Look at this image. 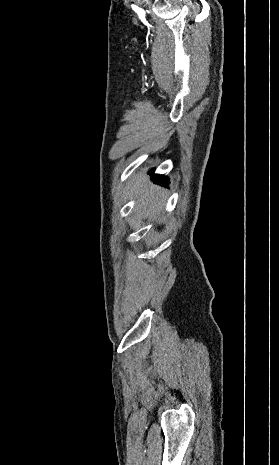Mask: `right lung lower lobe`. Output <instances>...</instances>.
I'll list each match as a JSON object with an SVG mask.
<instances>
[{
    "instance_id": "1",
    "label": "right lung lower lobe",
    "mask_w": 279,
    "mask_h": 465,
    "mask_svg": "<svg viewBox=\"0 0 279 465\" xmlns=\"http://www.w3.org/2000/svg\"><path fill=\"white\" fill-rule=\"evenodd\" d=\"M154 170L150 171L151 176L153 177V180L161 185H167L169 183V179L166 176L163 175H154Z\"/></svg>"
}]
</instances>
